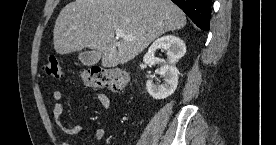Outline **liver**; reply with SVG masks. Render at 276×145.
I'll return each instance as SVG.
<instances>
[{"label":"liver","mask_w":276,"mask_h":145,"mask_svg":"<svg viewBox=\"0 0 276 145\" xmlns=\"http://www.w3.org/2000/svg\"><path fill=\"white\" fill-rule=\"evenodd\" d=\"M185 25L184 12L171 0H74L55 21L53 42L62 55L95 49L103 67H116L135 58L161 35ZM116 30L134 39L117 40Z\"/></svg>","instance_id":"obj_1"}]
</instances>
